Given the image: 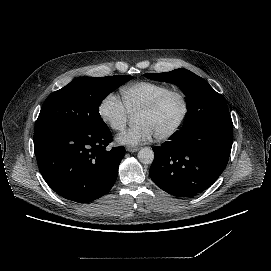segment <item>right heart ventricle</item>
Masks as SVG:
<instances>
[{
	"mask_svg": "<svg viewBox=\"0 0 271 271\" xmlns=\"http://www.w3.org/2000/svg\"><path fill=\"white\" fill-rule=\"evenodd\" d=\"M169 89L171 87L164 83L139 81L123 86L121 94L129 113L135 114Z\"/></svg>",
	"mask_w": 271,
	"mask_h": 271,
	"instance_id": "1",
	"label": "right heart ventricle"
}]
</instances>
